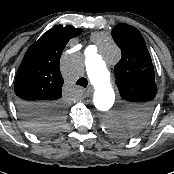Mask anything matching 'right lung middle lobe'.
I'll list each match as a JSON object with an SVG mask.
<instances>
[{
  "label": "right lung middle lobe",
  "mask_w": 174,
  "mask_h": 174,
  "mask_svg": "<svg viewBox=\"0 0 174 174\" xmlns=\"http://www.w3.org/2000/svg\"><path fill=\"white\" fill-rule=\"evenodd\" d=\"M60 114L59 111L49 112L44 118H38L36 121L28 122V126L36 133L48 134L58 128L61 122Z\"/></svg>",
  "instance_id": "1"
}]
</instances>
